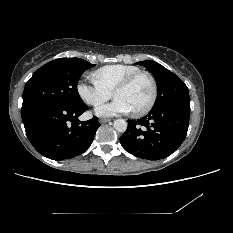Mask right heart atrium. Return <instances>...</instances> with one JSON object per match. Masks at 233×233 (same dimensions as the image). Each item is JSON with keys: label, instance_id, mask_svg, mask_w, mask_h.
Segmentation results:
<instances>
[{"label": "right heart atrium", "instance_id": "right-heart-atrium-1", "mask_svg": "<svg viewBox=\"0 0 233 233\" xmlns=\"http://www.w3.org/2000/svg\"><path fill=\"white\" fill-rule=\"evenodd\" d=\"M76 89L84 102L95 107L109 100L112 95L109 90L95 81H92L91 84L79 82Z\"/></svg>", "mask_w": 233, "mask_h": 233}]
</instances>
